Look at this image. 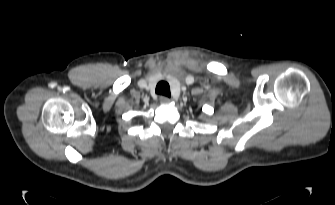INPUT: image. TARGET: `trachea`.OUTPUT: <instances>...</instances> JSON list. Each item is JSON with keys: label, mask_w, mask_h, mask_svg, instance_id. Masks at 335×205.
<instances>
[{"label": "trachea", "mask_w": 335, "mask_h": 205, "mask_svg": "<svg viewBox=\"0 0 335 205\" xmlns=\"http://www.w3.org/2000/svg\"><path fill=\"white\" fill-rule=\"evenodd\" d=\"M156 93L170 97V87L166 81H160L156 86Z\"/></svg>", "instance_id": "trachea-1"}]
</instances>
